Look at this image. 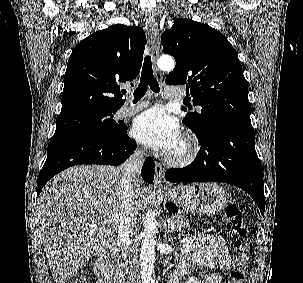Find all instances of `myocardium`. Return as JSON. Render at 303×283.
I'll list each match as a JSON object with an SVG mask.
<instances>
[{"label":"myocardium","instance_id":"1","mask_svg":"<svg viewBox=\"0 0 303 283\" xmlns=\"http://www.w3.org/2000/svg\"><path fill=\"white\" fill-rule=\"evenodd\" d=\"M199 150L197 139L191 135H185L180 141L178 150L167 156V162L172 166L183 167L194 161Z\"/></svg>","mask_w":303,"mask_h":283}]
</instances>
